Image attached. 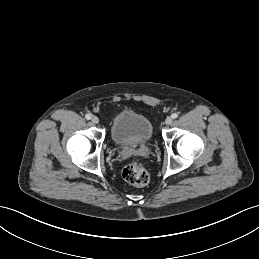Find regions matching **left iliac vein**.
Returning <instances> with one entry per match:
<instances>
[{"instance_id": "left-iliac-vein-1", "label": "left iliac vein", "mask_w": 259, "mask_h": 259, "mask_svg": "<svg viewBox=\"0 0 259 259\" xmlns=\"http://www.w3.org/2000/svg\"><path fill=\"white\" fill-rule=\"evenodd\" d=\"M172 121H173L172 117H167L165 120V124L170 125L172 123Z\"/></svg>"}]
</instances>
